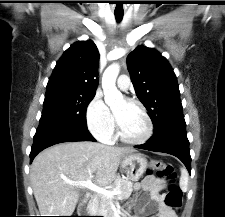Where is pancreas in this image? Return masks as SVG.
<instances>
[{
    "mask_svg": "<svg viewBox=\"0 0 225 217\" xmlns=\"http://www.w3.org/2000/svg\"><path fill=\"white\" fill-rule=\"evenodd\" d=\"M111 187L112 188L110 190L117 189L121 191V194L118 195V198L127 199L130 197L133 191V182H131L129 179L117 176ZM89 210L92 213H98L103 215L104 217H113L111 200L103 194L94 195L89 204Z\"/></svg>",
    "mask_w": 225,
    "mask_h": 217,
    "instance_id": "pancreas-1",
    "label": "pancreas"
}]
</instances>
